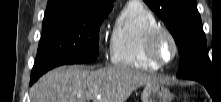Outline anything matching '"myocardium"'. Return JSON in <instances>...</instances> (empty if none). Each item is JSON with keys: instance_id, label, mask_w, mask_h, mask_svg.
I'll return each mask as SVG.
<instances>
[{"instance_id": "f54148a6", "label": "myocardium", "mask_w": 221, "mask_h": 102, "mask_svg": "<svg viewBox=\"0 0 221 102\" xmlns=\"http://www.w3.org/2000/svg\"><path fill=\"white\" fill-rule=\"evenodd\" d=\"M163 38L170 41L173 53L170 59L164 60L158 53V46ZM144 52L149 61L159 67L170 65L178 55V44L173 34L165 27L159 25L148 31L144 40Z\"/></svg>"}]
</instances>
